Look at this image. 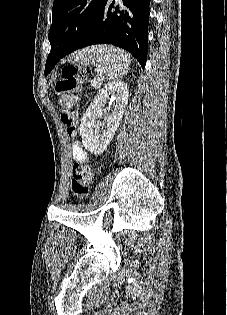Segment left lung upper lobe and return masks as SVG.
Wrapping results in <instances>:
<instances>
[{
  "label": "left lung upper lobe",
  "mask_w": 227,
  "mask_h": 315,
  "mask_svg": "<svg viewBox=\"0 0 227 315\" xmlns=\"http://www.w3.org/2000/svg\"><path fill=\"white\" fill-rule=\"evenodd\" d=\"M104 0H54L49 41L60 40L62 48L73 45L96 17Z\"/></svg>",
  "instance_id": "1"
}]
</instances>
